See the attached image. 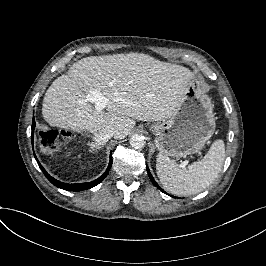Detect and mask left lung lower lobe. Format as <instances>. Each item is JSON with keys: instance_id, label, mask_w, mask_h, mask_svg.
I'll return each instance as SVG.
<instances>
[{"instance_id": "left-lung-lower-lobe-1", "label": "left lung lower lobe", "mask_w": 266, "mask_h": 266, "mask_svg": "<svg viewBox=\"0 0 266 266\" xmlns=\"http://www.w3.org/2000/svg\"><path fill=\"white\" fill-rule=\"evenodd\" d=\"M147 172H148V175H149V177H150L151 182H152V183H153L158 189H160L162 192L165 193V191L162 190V189L159 187V185L156 183V181H155L154 178L152 177V175H151V173H150L148 167H147ZM172 197H173V196H172Z\"/></svg>"}]
</instances>
